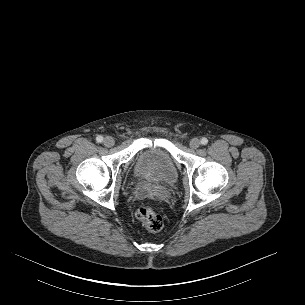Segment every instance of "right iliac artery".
I'll use <instances>...</instances> for the list:
<instances>
[{
  "instance_id": "obj_1",
  "label": "right iliac artery",
  "mask_w": 305,
  "mask_h": 305,
  "mask_svg": "<svg viewBox=\"0 0 305 305\" xmlns=\"http://www.w3.org/2000/svg\"><path fill=\"white\" fill-rule=\"evenodd\" d=\"M96 141L101 143L103 141V137L101 135L97 136Z\"/></svg>"
}]
</instances>
